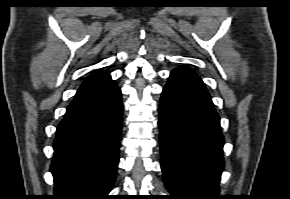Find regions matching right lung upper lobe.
I'll return each mask as SVG.
<instances>
[{
	"mask_svg": "<svg viewBox=\"0 0 290 199\" xmlns=\"http://www.w3.org/2000/svg\"><path fill=\"white\" fill-rule=\"evenodd\" d=\"M111 80L109 73L97 71L90 75L80 86L77 92L92 89Z\"/></svg>",
	"mask_w": 290,
	"mask_h": 199,
	"instance_id": "cb5924a9",
	"label": "right lung upper lobe"
}]
</instances>
